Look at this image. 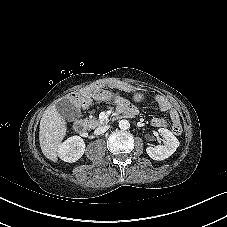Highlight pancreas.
I'll return each instance as SVG.
<instances>
[{
	"mask_svg": "<svg viewBox=\"0 0 227 227\" xmlns=\"http://www.w3.org/2000/svg\"><path fill=\"white\" fill-rule=\"evenodd\" d=\"M103 123L104 122H102V121H96L94 118L89 120V125H90L91 128H94L96 126H100Z\"/></svg>",
	"mask_w": 227,
	"mask_h": 227,
	"instance_id": "pancreas-1",
	"label": "pancreas"
}]
</instances>
